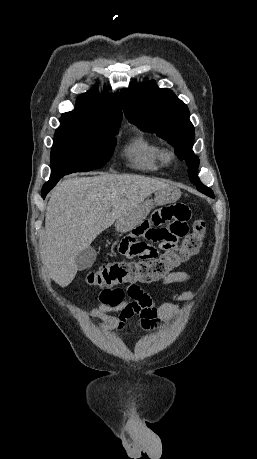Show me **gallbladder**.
<instances>
[{"label": "gallbladder", "instance_id": "bac80fb5", "mask_svg": "<svg viewBox=\"0 0 257 459\" xmlns=\"http://www.w3.org/2000/svg\"><path fill=\"white\" fill-rule=\"evenodd\" d=\"M96 259V251L92 247L82 250L75 258L77 269L82 271L91 267Z\"/></svg>", "mask_w": 257, "mask_h": 459}]
</instances>
